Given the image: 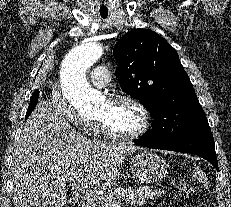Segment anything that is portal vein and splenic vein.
Wrapping results in <instances>:
<instances>
[{
    "instance_id": "18ae733b",
    "label": "portal vein and splenic vein",
    "mask_w": 231,
    "mask_h": 207,
    "mask_svg": "<svg viewBox=\"0 0 231 207\" xmlns=\"http://www.w3.org/2000/svg\"><path fill=\"white\" fill-rule=\"evenodd\" d=\"M69 181V180H64ZM73 188L77 189L82 194H85L87 199L94 200V201H102L104 200V196L99 195L98 192L88 190L87 186L83 185L82 183H76L74 181H69ZM124 204L122 203H109L108 207H123Z\"/></svg>"
}]
</instances>
